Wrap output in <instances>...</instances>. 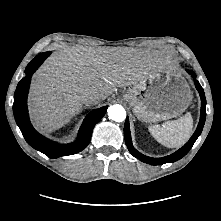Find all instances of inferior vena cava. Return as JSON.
I'll list each match as a JSON object with an SVG mask.
<instances>
[{
	"mask_svg": "<svg viewBox=\"0 0 221 221\" xmlns=\"http://www.w3.org/2000/svg\"><path fill=\"white\" fill-rule=\"evenodd\" d=\"M83 101L86 106L97 104L99 101V94L95 91H87L83 94Z\"/></svg>",
	"mask_w": 221,
	"mask_h": 221,
	"instance_id": "1",
	"label": "inferior vena cava"
}]
</instances>
